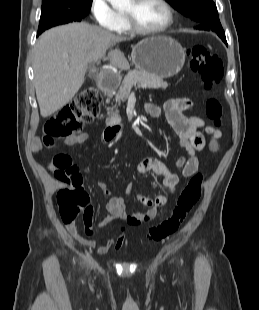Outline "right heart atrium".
I'll return each mask as SVG.
<instances>
[{
  "label": "right heart atrium",
  "instance_id": "obj_1",
  "mask_svg": "<svg viewBox=\"0 0 259 310\" xmlns=\"http://www.w3.org/2000/svg\"><path fill=\"white\" fill-rule=\"evenodd\" d=\"M90 10L95 21L103 28L119 31L122 26V16L115 11L108 0H91Z\"/></svg>",
  "mask_w": 259,
  "mask_h": 310
}]
</instances>
